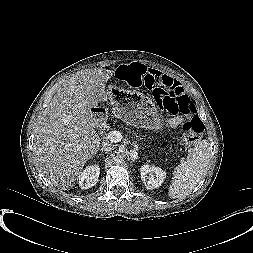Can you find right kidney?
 I'll return each instance as SVG.
<instances>
[{
	"mask_svg": "<svg viewBox=\"0 0 253 253\" xmlns=\"http://www.w3.org/2000/svg\"><path fill=\"white\" fill-rule=\"evenodd\" d=\"M100 168L98 165L87 166L78 176L77 180L81 189H88L98 182Z\"/></svg>",
	"mask_w": 253,
	"mask_h": 253,
	"instance_id": "1",
	"label": "right kidney"
}]
</instances>
